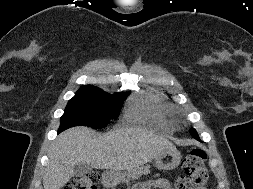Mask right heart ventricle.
I'll return each instance as SVG.
<instances>
[{
    "mask_svg": "<svg viewBox=\"0 0 253 189\" xmlns=\"http://www.w3.org/2000/svg\"><path fill=\"white\" fill-rule=\"evenodd\" d=\"M126 118L130 123L140 126H165L173 123L171 114L167 110L144 102L131 106L126 112Z\"/></svg>",
    "mask_w": 253,
    "mask_h": 189,
    "instance_id": "right-heart-ventricle-1",
    "label": "right heart ventricle"
}]
</instances>
